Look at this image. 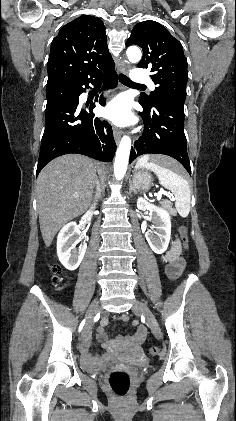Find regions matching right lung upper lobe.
Segmentation results:
<instances>
[{
    "label": "right lung upper lobe",
    "instance_id": "cb5924a9",
    "mask_svg": "<svg viewBox=\"0 0 236 421\" xmlns=\"http://www.w3.org/2000/svg\"><path fill=\"white\" fill-rule=\"evenodd\" d=\"M112 69L114 63L103 22L82 15L62 27L51 45L47 86H68L75 80Z\"/></svg>",
    "mask_w": 236,
    "mask_h": 421
}]
</instances>
